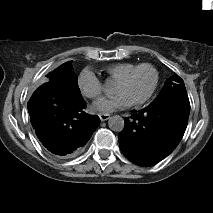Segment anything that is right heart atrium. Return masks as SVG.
<instances>
[{
	"label": "right heart atrium",
	"mask_w": 213,
	"mask_h": 213,
	"mask_svg": "<svg viewBox=\"0 0 213 213\" xmlns=\"http://www.w3.org/2000/svg\"><path fill=\"white\" fill-rule=\"evenodd\" d=\"M78 86L81 92L88 98L99 99L105 91V86L94 72L83 70L78 78Z\"/></svg>",
	"instance_id": "right-heart-atrium-1"
}]
</instances>
